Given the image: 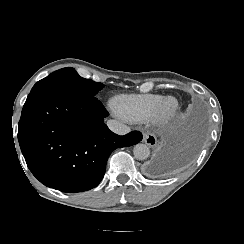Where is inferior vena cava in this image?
Listing matches in <instances>:
<instances>
[{
  "instance_id": "inferior-vena-cava-1",
  "label": "inferior vena cava",
  "mask_w": 244,
  "mask_h": 244,
  "mask_svg": "<svg viewBox=\"0 0 244 244\" xmlns=\"http://www.w3.org/2000/svg\"><path fill=\"white\" fill-rule=\"evenodd\" d=\"M107 126L112 132H114L118 135H121V136L126 135L130 132L129 127H127L124 124L117 122L116 120H109L107 122Z\"/></svg>"
}]
</instances>
